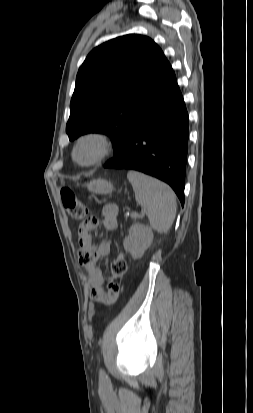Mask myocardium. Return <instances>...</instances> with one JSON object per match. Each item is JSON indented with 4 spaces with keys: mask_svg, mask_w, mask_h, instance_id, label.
Returning a JSON list of instances; mask_svg holds the SVG:
<instances>
[{
    "mask_svg": "<svg viewBox=\"0 0 253 413\" xmlns=\"http://www.w3.org/2000/svg\"><path fill=\"white\" fill-rule=\"evenodd\" d=\"M87 142H91L96 146V153L92 159L88 161H81L78 158L77 153L79 148ZM112 146V140L106 133L101 131H89L81 134L76 139L72 149V159L80 166H93L101 162L105 157L109 155L112 150Z\"/></svg>",
    "mask_w": 253,
    "mask_h": 413,
    "instance_id": "myocardium-1",
    "label": "myocardium"
}]
</instances>
